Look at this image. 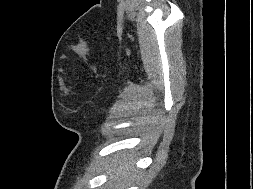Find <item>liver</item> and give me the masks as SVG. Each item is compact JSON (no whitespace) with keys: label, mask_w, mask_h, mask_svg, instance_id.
<instances>
[{"label":"liver","mask_w":253,"mask_h":189,"mask_svg":"<svg viewBox=\"0 0 253 189\" xmlns=\"http://www.w3.org/2000/svg\"><path fill=\"white\" fill-rule=\"evenodd\" d=\"M109 174L111 175V183L114 189H122L123 183L128 179L131 174L130 160L124 161L123 157L114 156L110 160Z\"/></svg>","instance_id":"1"}]
</instances>
